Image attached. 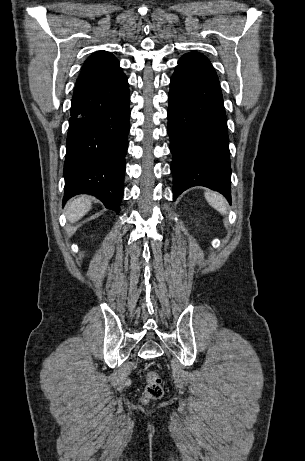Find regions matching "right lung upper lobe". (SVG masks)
Instances as JSON below:
<instances>
[{
  "label": "right lung upper lobe",
  "instance_id": "cb5924a9",
  "mask_svg": "<svg viewBox=\"0 0 305 461\" xmlns=\"http://www.w3.org/2000/svg\"><path fill=\"white\" fill-rule=\"evenodd\" d=\"M119 61L106 51L93 53L84 62L76 85L108 80L121 73Z\"/></svg>",
  "mask_w": 305,
  "mask_h": 461
}]
</instances>
